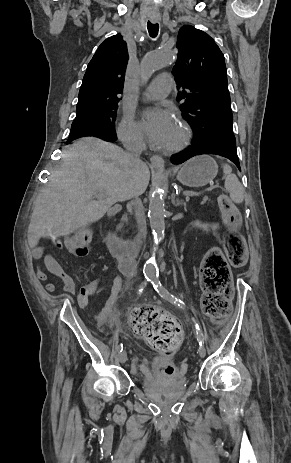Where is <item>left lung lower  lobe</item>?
<instances>
[{
  "instance_id": "left-lung-lower-lobe-1",
  "label": "left lung lower lobe",
  "mask_w": 291,
  "mask_h": 463,
  "mask_svg": "<svg viewBox=\"0 0 291 463\" xmlns=\"http://www.w3.org/2000/svg\"><path fill=\"white\" fill-rule=\"evenodd\" d=\"M203 154H216L231 160L241 171L236 144L211 137L194 136L191 145L183 152L172 156L173 164H181L191 157Z\"/></svg>"
}]
</instances>
